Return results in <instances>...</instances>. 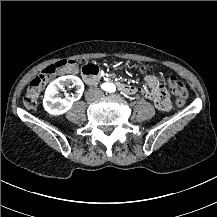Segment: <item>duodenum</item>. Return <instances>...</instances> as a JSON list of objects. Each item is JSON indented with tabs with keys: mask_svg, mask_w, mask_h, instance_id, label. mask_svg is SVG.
<instances>
[{
	"mask_svg": "<svg viewBox=\"0 0 217 217\" xmlns=\"http://www.w3.org/2000/svg\"><path fill=\"white\" fill-rule=\"evenodd\" d=\"M99 67L94 64H86L82 68V78L85 83L93 85L98 81ZM117 88L125 94L131 95L136 92V88L123 83H118Z\"/></svg>",
	"mask_w": 217,
	"mask_h": 217,
	"instance_id": "obj_1",
	"label": "duodenum"
}]
</instances>
